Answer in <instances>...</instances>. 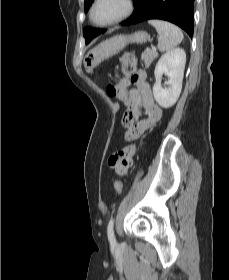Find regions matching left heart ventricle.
Instances as JSON below:
<instances>
[{
  "instance_id": "left-heart-ventricle-1",
  "label": "left heart ventricle",
  "mask_w": 229,
  "mask_h": 280,
  "mask_svg": "<svg viewBox=\"0 0 229 280\" xmlns=\"http://www.w3.org/2000/svg\"><path fill=\"white\" fill-rule=\"evenodd\" d=\"M123 9V0H103L94 11V19L97 22L107 21L120 14Z\"/></svg>"
}]
</instances>
